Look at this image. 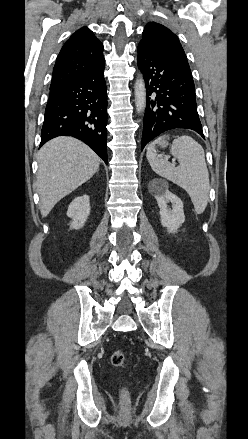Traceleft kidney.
Here are the masks:
<instances>
[{
  "label": "left kidney",
  "mask_w": 248,
  "mask_h": 439,
  "mask_svg": "<svg viewBox=\"0 0 248 439\" xmlns=\"http://www.w3.org/2000/svg\"><path fill=\"white\" fill-rule=\"evenodd\" d=\"M149 191L157 200L160 208V220L163 227L167 228L169 233H175L185 221L183 203L175 194L171 193L166 185L157 186V180L154 179L149 184ZM171 203L169 208L167 203Z\"/></svg>",
  "instance_id": "5707ae66"
}]
</instances>
